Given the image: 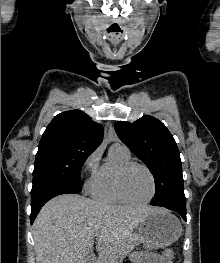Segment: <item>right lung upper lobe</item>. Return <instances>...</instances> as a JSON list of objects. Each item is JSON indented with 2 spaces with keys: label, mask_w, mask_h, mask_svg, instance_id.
<instances>
[{
  "label": "right lung upper lobe",
  "mask_w": 220,
  "mask_h": 263,
  "mask_svg": "<svg viewBox=\"0 0 220 263\" xmlns=\"http://www.w3.org/2000/svg\"><path fill=\"white\" fill-rule=\"evenodd\" d=\"M104 129L79 110L58 114L44 131L38 152L49 149H73L94 152L103 139Z\"/></svg>",
  "instance_id": "right-lung-upper-lobe-1"
}]
</instances>
